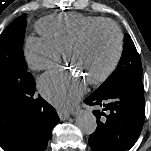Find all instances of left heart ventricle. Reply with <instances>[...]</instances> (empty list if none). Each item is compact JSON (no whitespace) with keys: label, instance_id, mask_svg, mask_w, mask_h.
Returning a JSON list of instances; mask_svg holds the SVG:
<instances>
[{"label":"left heart ventricle","instance_id":"left-heart-ventricle-1","mask_svg":"<svg viewBox=\"0 0 151 151\" xmlns=\"http://www.w3.org/2000/svg\"><path fill=\"white\" fill-rule=\"evenodd\" d=\"M116 52V36L110 27L93 31L86 41L69 53L68 62L87 81L102 74Z\"/></svg>","mask_w":151,"mask_h":151}]
</instances>
